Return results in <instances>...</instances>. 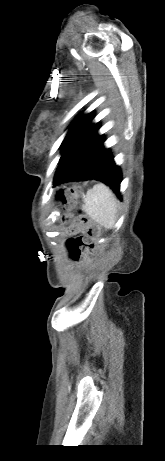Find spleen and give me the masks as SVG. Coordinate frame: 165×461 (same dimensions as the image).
Returning <instances> with one entry per match:
<instances>
[{
	"label": "spleen",
	"mask_w": 165,
	"mask_h": 461,
	"mask_svg": "<svg viewBox=\"0 0 165 461\" xmlns=\"http://www.w3.org/2000/svg\"><path fill=\"white\" fill-rule=\"evenodd\" d=\"M82 209L101 226L111 229L117 220V199L105 184H97L84 196Z\"/></svg>",
	"instance_id": "obj_1"
}]
</instances>
